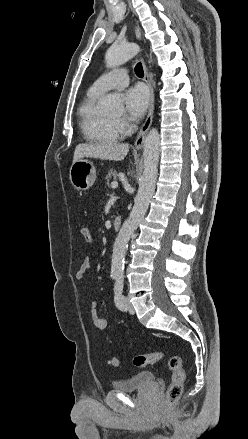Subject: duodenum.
Instances as JSON below:
<instances>
[{
	"mask_svg": "<svg viewBox=\"0 0 248 439\" xmlns=\"http://www.w3.org/2000/svg\"><path fill=\"white\" fill-rule=\"evenodd\" d=\"M122 222H123L122 216L121 215H116L114 217L113 223H112L113 229L114 230H119L121 228V226H122Z\"/></svg>",
	"mask_w": 248,
	"mask_h": 439,
	"instance_id": "410a0bca",
	"label": "duodenum"
}]
</instances>
